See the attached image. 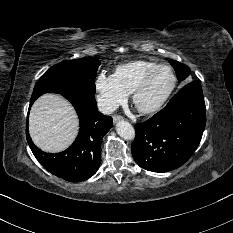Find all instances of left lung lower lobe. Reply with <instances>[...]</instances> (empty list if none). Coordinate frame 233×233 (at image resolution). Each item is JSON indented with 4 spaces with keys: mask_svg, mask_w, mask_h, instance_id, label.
Masks as SVG:
<instances>
[{
    "mask_svg": "<svg viewBox=\"0 0 233 233\" xmlns=\"http://www.w3.org/2000/svg\"><path fill=\"white\" fill-rule=\"evenodd\" d=\"M206 124L205 102L199 83L184 86L153 117L137 123L131 145L134 160L153 172L183 165L194 153Z\"/></svg>",
    "mask_w": 233,
    "mask_h": 233,
    "instance_id": "left-lung-lower-lobe-1",
    "label": "left lung lower lobe"
}]
</instances>
